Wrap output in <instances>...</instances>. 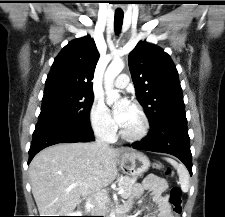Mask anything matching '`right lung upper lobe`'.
<instances>
[{"mask_svg":"<svg viewBox=\"0 0 225 217\" xmlns=\"http://www.w3.org/2000/svg\"><path fill=\"white\" fill-rule=\"evenodd\" d=\"M99 52L90 36L69 42L55 58L44 93L67 91L93 94L92 82Z\"/></svg>","mask_w":225,"mask_h":217,"instance_id":"right-lung-upper-lobe-1","label":"right lung upper lobe"}]
</instances>
